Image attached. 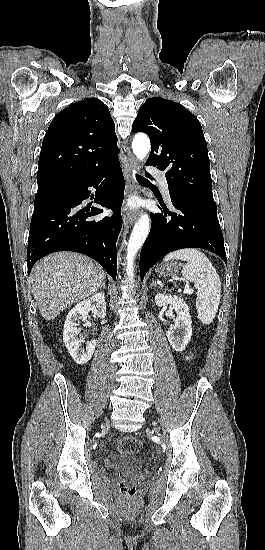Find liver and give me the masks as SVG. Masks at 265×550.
Returning a JSON list of instances; mask_svg holds the SVG:
<instances>
[{
	"label": "liver",
	"mask_w": 265,
	"mask_h": 550,
	"mask_svg": "<svg viewBox=\"0 0 265 550\" xmlns=\"http://www.w3.org/2000/svg\"><path fill=\"white\" fill-rule=\"evenodd\" d=\"M103 268L91 258L73 252L44 257L32 271L33 296L45 320H53L74 303L98 291L105 282Z\"/></svg>",
	"instance_id": "liver-1"
}]
</instances>
